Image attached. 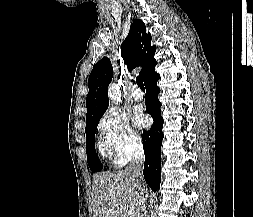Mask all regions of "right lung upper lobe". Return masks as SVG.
I'll use <instances>...</instances> for the list:
<instances>
[{"instance_id":"obj_1","label":"right lung upper lobe","mask_w":253,"mask_h":217,"mask_svg":"<svg viewBox=\"0 0 253 217\" xmlns=\"http://www.w3.org/2000/svg\"><path fill=\"white\" fill-rule=\"evenodd\" d=\"M151 35L146 33V27L141 20H135L130 27L126 39L121 45V56L128 69L141 66L139 75L145 81L155 73L157 64L154 59L156 46H151ZM113 77V67L107 57H103L90 73L88 85L89 93L86 99V122L103 115L108 108L109 99L107 88Z\"/></svg>"}]
</instances>
